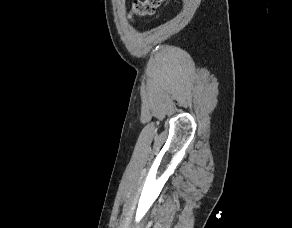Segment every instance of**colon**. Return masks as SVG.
Instances as JSON below:
<instances>
[{"mask_svg": "<svg viewBox=\"0 0 292 228\" xmlns=\"http://www.w3.org/2000/svg\"><path fill=\"white\" fill-rule=\"evenodd\" d=\"M162 0H135L131 11L130 18L152 16L159 8Z\"/></svg>", "mask_w": 292, "mask_h": 228, "instance_id": "1", "label": "colon"}]
</instances>
